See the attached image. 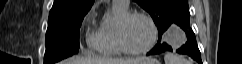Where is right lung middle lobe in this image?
<instances>
[{"label":"right lung middle lobe","mask_w":242,"mask_h":64,"mask_svg":"<svg viewBox=\"0 0 242 64\" xmlns=\"http://www.w3.org/2000/svg\"><path fill=\"white\" fill-rule=\"evenodd\" d=\"M86 13L48 20L44 64H53L78 53L79 30Z\"/></svg>","instance_id":"obj_1"}]
</instances>
